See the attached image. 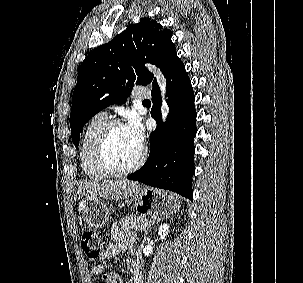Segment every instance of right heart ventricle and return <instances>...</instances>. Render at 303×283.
<instances>
[{
    "instance_id": "obj_1",
    "label": "right heart ventricle",
    "mask_w": 303,
    "mask_h": 283,
    "mask_svg": "<svg viewBox=\"0 0 303 283\" xmlns=\"http://www.w3.org/2000/svg\"><path fill=\"white\" fill-rule=\"evenodd\" d=\"M108 121L107 115L103 112L93 116L87 123L80 144V165L85 176L92 181H101L107 178L96 166L93 158V147L95 140Z\"/></svg>"
}]
</instances>
